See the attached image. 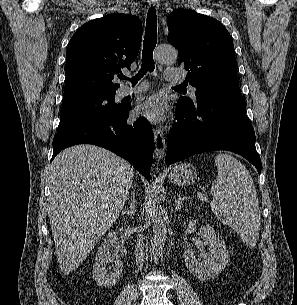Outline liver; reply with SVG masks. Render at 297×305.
Segmentation results:
<instances>
[{"instance_id": "obj_1", "label": "liver", "mask_w": 297, "mask_h": 305, "mask_svg": "<svg viewBox=\"0 0 297 305\" xmlns=\"http://www.w3.org/2000/svg\"><path fill=\"white\" fill-rule=\"evenodd\" d=\"M133 167L93 145L60 152L49 166L48 215L60 270L74 271L118 218Z\"/></svg>"}]
</instances>
